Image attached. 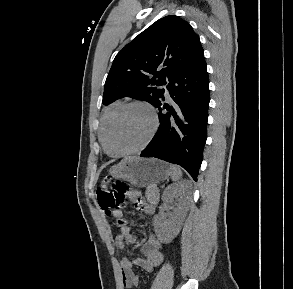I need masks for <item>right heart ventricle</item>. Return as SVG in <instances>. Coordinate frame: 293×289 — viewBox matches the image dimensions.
I'll return each instance as SVG.
<instances>
[{"instance_id":"obj_1","label":"right heart ventricle","mask_w":293,"mask_h":289,"mask_svg":"<svg viewBox=\"0 0 293 289\" xmlns=\"http://www.w3.org/2000/svg\"><path fill=\"white\" fill-rule=\"evenodd\" d=\"M121 104H122V102L120 100L115 101L104 111V113L102 115V118L100 121L99 132H98L99 140H100V143L102 146H103V138H104V131H105L106 124H107L109 118L111 117V115L114 113V111Z\"/></svg>"}]
</instances>
